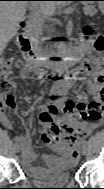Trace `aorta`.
<instances>
[{
  "instance_id": "762f6f07",
  "label": "aorta",
  "mask_w": 104,
  "mask_h": 189,
  "mask_svg": "<svg viewBox=\"0 0 104 189\" xmlns=\"http://www.w3.org/2000/svg\"><path fill=\"white\" fill-rule=\"evenodd\" d=\"M58 44H57V49H58V55L61 57V58H65L67 55H68V50L66 48V46L64 45L65 44V36L64 35H59L58 36ZM58 69V75H63L64 71H63V66L62 65H59V67L57 68Z\"/></svg>"
}]
</instances>
